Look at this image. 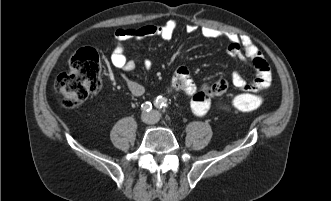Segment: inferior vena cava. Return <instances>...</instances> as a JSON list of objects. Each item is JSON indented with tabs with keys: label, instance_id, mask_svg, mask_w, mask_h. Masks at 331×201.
Listing matches in <instances>:
<instances>
[{
	"label": "inferior vena cava",
	"instance_id": "602c4592",
	"mask_svg": "<svg viewBox=\"0 0 331 201\" xmlns=\"http://www.w3.org/2000/svg\"><path fill=\"white\" fill-rule=\"evenodd\" d=\"M147 123H154L156 122L155 120H146Z\"/></svg>",
	"mask_w": 331,
	"mask_h": 201
}]
</instances>
